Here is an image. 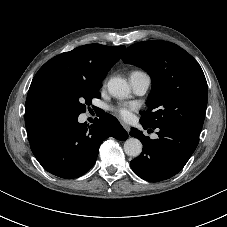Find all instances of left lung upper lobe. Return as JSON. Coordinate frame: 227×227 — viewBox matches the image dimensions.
I'll use <instances>...</instances> for the list:
<instances>
[{
    "mask_svg": "<svg viewBox=\"0 0 227 227\" xmlns=\"http://www.w3.org/2000/svg\"><path fill=\"white\" fill-rule=\"evenodd\" d=\"M122 60L141 67L152 80L141 122L151 128L171 125L199 136L208 87L200 65L189 53L171 42L143 41L128 47Z\"/></svg>",
    "mask_w": 227,
    "mask_h": 227,
    "instance_id": "left-lung-upper-lobe-1",
    "label": "left lung upper lobe"
}]
</instances>
